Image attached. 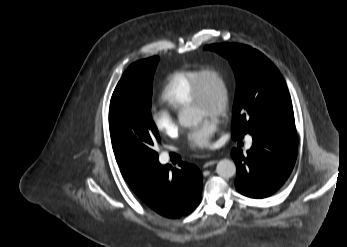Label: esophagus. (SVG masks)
I'll use <instances>...</instances> for the list:
<instances>
[{
    "label": "esophagus",
    "mask_w": 347,
    "mask_h": 247,
    "mask_svg": "<svg viewBox=\"0 0 347 247\" xmlns=\"http://www.w3.org/2000/svg\"><path fill=\"white\" fill-rule=\"evenodd\" d=\"M208 158L212 157V155H208ZM218 161L216 159H210L208 161H206L203 165L204 168H208L209 166H212L214 164H216Z\"/></svg>",
    "instance_id": "obj_1"
}]
</instances>
